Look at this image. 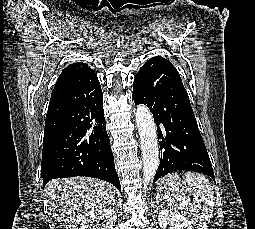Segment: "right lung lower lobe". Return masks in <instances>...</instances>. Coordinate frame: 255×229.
Returning <instances> with one entry per match:
<instances>
[{"mask_svg":"<svg viewBox=\"0 0 255 229\" xmlns=\"http://www.w3.org/2000/svg\"><path fill=\"white\" fill-rule=\"evenodd\" d=\"M53 129L58 131L57 138L41 164L44 184L55 178L86 176L121 189L106 131L101 86L90 67L50 100L45 131Z\"/></svg>","mask_w":255,"mask_h":229,"instance_id":"obj_1","label":"right lung lower lobe"}]
</instances>
